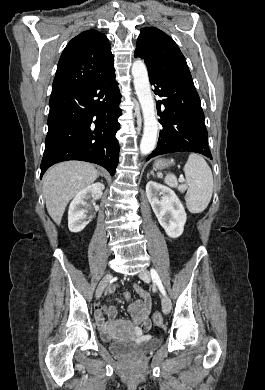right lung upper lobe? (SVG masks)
<instances>
[{
  "instance_id": "obj_1",
  "label": "right lung upper lobe",
  "mask_w": 265,
  "mask_h": 390,
  "mask_svg": "<svg viewBox=\"0 0 265 390\" xmlns=\"http://www.w3.org/2000/svg\"><path fill=\"white\" fill-rule=\"evenodd\" d=\"M111 47L106 36L87 30L74 37L58 62L52 85L57 93L82 85L114 68Z\"/></svg>"
}]
</instances>
